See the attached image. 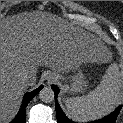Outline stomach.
<instances>
[{
    "label": "stomach",
    "instance_id": "0dacf381",
    "mask_svg": "<svg viewBox=\"0 0 123 123\" xmlns=\"http://www.w3.org/2000/svg\"><path fill=\"white\" fill-rule=\"evenodd\" d=\"M60 72L56 71L54 74L59 75ZM59 77H62V75ZM70 82H71V88L70 92H80L85 86H86V81L84 79V74L82 71V68L80 66H77L75 68L74 74L70 76Z\"/></svg>",
    "mask_w": 123,
    "mask_h": 123
}]
</instances>
